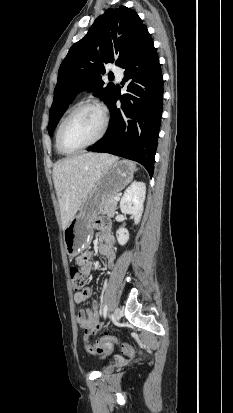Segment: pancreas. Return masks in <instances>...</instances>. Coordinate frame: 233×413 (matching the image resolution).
<instances>
[{
    "label": "pancreas",
    "mask_w": 233,
    "mask_h": 413,
    "mask_svg": "<svg viewBox=\"0 0 233 413\" xmlns=\"http://www.w3.org/2000/svg\"><path fill=\"white\" fill-rule=\"evenodd\" d=\"M115 196L116 195H111L109 197H106L101 202V211L109 216H114L116 210L117 201L115 200Z\"/></svg>",
    "instance_id": "cf45deb5"
}]
</instances>
